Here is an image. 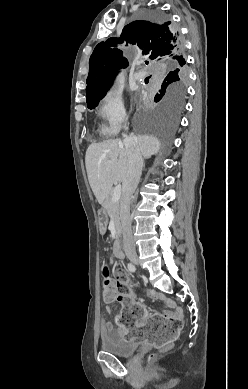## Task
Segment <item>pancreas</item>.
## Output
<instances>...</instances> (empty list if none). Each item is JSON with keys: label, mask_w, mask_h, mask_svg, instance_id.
<instances>
[{"label": "pancreas", "mask_w": 248, "mask_h": 389, "mask_svg": "<svg viewBox=\"0 0 248 389\" xmlns=\"http://www.w3.org/2000/svg\"><path fill=\"white\" fill-rule=\"evenodd\" d=\"M113 189H111L108 197L105 199L103 203V213L106 218L113 217L115 229H116V237L119 238L121 234V223L119 217V201L112 202Z\"/></svg>", "instance_id": "obj_1"}]
</instances>
